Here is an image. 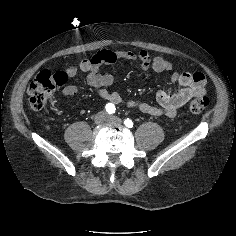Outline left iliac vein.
<instances>
[{
    "label": "left iliac vein",
    "instance_id": "left-iliac-vein-1",
    "mask_svg": "<svg viewBox=\"0 0 236 236\" xmlns=\"http://www.w3.org/2000/svg\"><path fill=\"white\" fill-rule=\"evenodd\" d=\"M106 120L108 122L115 123V124H121L122 123V120L119 117L114 116V115H108Z\"/></svg>",
    "mask_w": 236,
    "mask_h": 236
}]
</instances>
